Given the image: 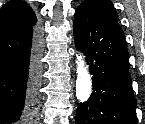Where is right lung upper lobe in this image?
Segmentation results:
<instances>
[{
	"label": "right lung upper lobe",
	"mask_w": 145,
	"mask_h": 124,
	"mask_svg": "<svg viewBox=\"0 0 145 124\" xmlns=\"http://www.w3.org/2000/svg\"><path fill=\"white\" fill-rule=\"evenodd\" d=\"M37 22L31 7L21 0L7 2L0 9V33H14L35 26Z\"/></svg>",
	"instance_id": "cb5924a9"
}]
</instances>
